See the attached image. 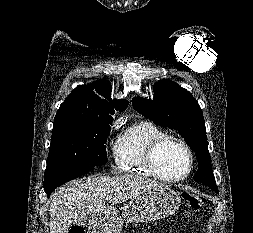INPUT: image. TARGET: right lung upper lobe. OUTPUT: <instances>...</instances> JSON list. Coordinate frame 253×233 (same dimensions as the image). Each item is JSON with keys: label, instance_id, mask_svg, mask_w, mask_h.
<instances>
[{"label": "right lung upper lobe", "instance_id": "obj_1", "mask_svg": "<svg viewBox=\"0 0 253 233\" xmlns=\"http://www.w3.org/2000/svg\"><path fill=\"white\" fill-rule=\"evenodd\" d=\"M93 89L105 99L97 96ZM111 84L107 80H98L88 85L77 86L61 104L57 112L92 114L109 117L115 110L123 111L128 106L124 99H111Z\"/></svg>", "mask_w": 253, "mask_h": 233}]
</instances>
